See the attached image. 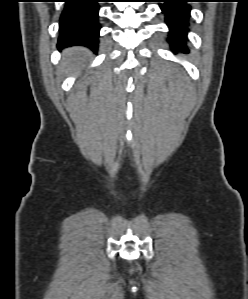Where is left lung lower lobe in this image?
I'll use <instances>...</instances> for the list:
<instances>
[{
	"label": "left lung lower lobe",
	"mask_w": 248,
	"mask_h": 299,
	"mask_svg": "<svg viewBox=\"0 0 248 299\" xmlns=\"http://www.w3.org/2000/svg\"><path fill=\"white\" fill-rule=\"evenodd\" d=\"M190 1L191 0H157V2H164V4L160 6L166 16L167 25L170 28L168 42L174 51L179 48L186 50L185 41L187 39V25L191 9L187 2Z\"/></svg>",
	"instance_id": "0a47b994"
}]
</instances>
